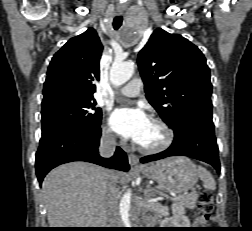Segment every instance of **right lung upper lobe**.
Instances as JSON below:
<instances>
[{"instance_id": "right-lung-upper-lobe-1", "label": "right lung upper lobe", "mask_w": 252, "mask_h": 231, "mask_svg": "<svg viewBox=\"0 0 252 231\" xmlns=\"http://www.w3.org/2000/svg\"><path fill=\"white\" fill-rule=\"evenodd\" d=\"M102 50L93 28L71 38L50 62L43 88L44 99L59 94L93 98Z\"/></svg>"}]
</instances>
